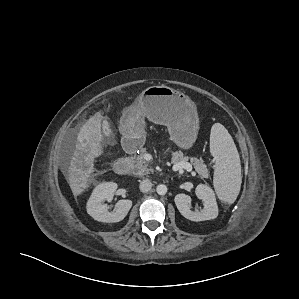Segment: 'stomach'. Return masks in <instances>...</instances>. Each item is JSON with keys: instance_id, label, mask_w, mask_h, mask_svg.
<instances>
[{"instance_id": "0dacf381", "label": "stomach", "mask_w": 299, "mask_h": 299, "mask_svg": "<svg viewBox=\"0 0 299 299\" xmlns=\"http://www.w3.org/2000/svg\"><path fill=\"white\" fill-rule=\"evenodd\" d=\"M145 118L167 127L170 139L182 149H190L196 141L199 118L194 102L181 91L168 86H150L123 113L121 123L134 135L142 132Z\"/></svg>"}]
</instances>
